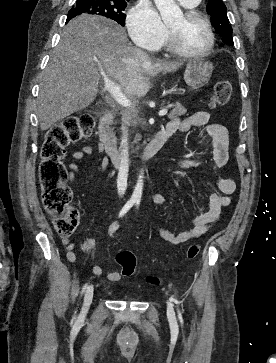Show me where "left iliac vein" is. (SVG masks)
Wrapping results in <instances>:
<instances>
[{"instance_id": "left-iliac-vein-1", "label": "left iliac vein", "mask_w": 276, "mask_h": 363, "mask_svg": "<svg viewBox=\"0 0 276 363\" xmlns=\"http://www.w3.org/2000/svg\"><path fill=\"white\" fill-rule=\"evenodd\" d=\"M167 315L172 324H175L176 323L175 312L173 309V305L170 301L167 302Z\"/></svg>"}]
</instances>
